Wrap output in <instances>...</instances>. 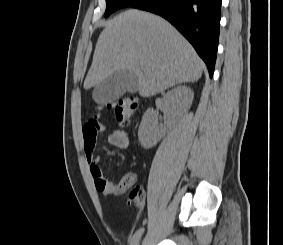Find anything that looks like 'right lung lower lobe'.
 Returning a JSON list of instances; mask_svg holds the SVG:
<instances>
[{
    "label": "right lung lower lobe",
    "instance_id": "right-lung-lower-lobe-1",
    "mask_svg": "<svg viewBox=\"0 0 283 245\" xmlns=\"http://www.w3.org/2000/svg\"><path fill=\"white\" fill-rule=\"evenodd\" d=\"M158 14L193 45L213 76L219 39L221 0H140L130 6Z\"/></svg>",
    "mask_w": 283,
    "mask_h": 245
}]
</instances>
